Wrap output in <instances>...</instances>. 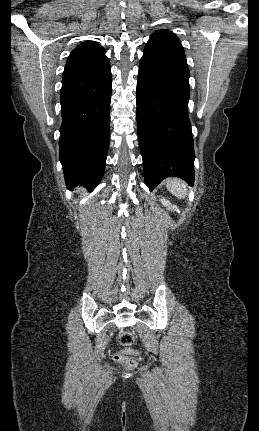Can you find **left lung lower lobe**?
<instances>
[{"label": "left lung lower lobe", "mask_w": 259, "mask_h": 431, "mask_svg": "<svg viewBox=\"0 0 259 431\" xmlns=\"http://www.w3.org/2000/svg\"><path fill=\"white\" fill-rule=\"evenodd\" d=\"M189 76L184 53L149 39L137 79V130L150 190L170 176L194 182Z\"/></svg>", "instance_id": "0a47b994"}]
</instances>
